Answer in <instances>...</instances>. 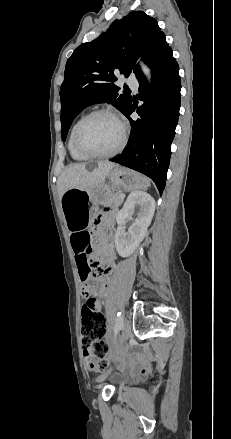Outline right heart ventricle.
I'll use <instances>...</instances> for the list:
<instances>
[{"instance_id": "right-heart-ventricle-1", "label": "right heart ventricle", "mask_w": 231, "mask_h": 439, "mask_svg": "<svg viewBox=\"0 0 231 439\" xmlns=\"http://www.w3.org/2000/svg\"><path fill=\"white\" fill-rule=\"evenodd\" d=\"M86 115H87V114L82 115V116H81L80 118H78V119L76 120V122L73 124V126L71 127V130H70V133H69V138H68V143H67L68 150H69V153H70L71 157H72L74 160H77V161H84V160L87 159L85 156H83L82 154H80V153L75 149L74 144H73V133H74V130H75L77 124L79 123V121H80L83 117H85Z\"/></svg>"}]
</instances>
